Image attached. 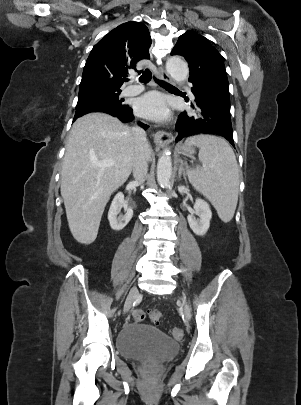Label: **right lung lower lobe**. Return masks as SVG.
I'll use <instances>...</instances> for the list:
<instances>
[{
	"instance_id": "right-lung-lower-lobe-1",
	"label": "right lung lower lobe",
	"mask_w": 301,
	"mask_h": 405,
	"mask_svg": "<svg viewBox=\"0 0 301 405\" xmlns=\"http://www.w3.org/2000/svg\"><path fill=\"white\" fill-rule=\"evenodd\" d=\"M98 112L107 113V114H109V115H111V116L117 117V118H119L122 122H130V121H132L133 118H134L132 109L129 108V107L126 108V109H108V108H107V109L99 110ZM78 117H80V116H75V117H74V120H75L76 118H78ZM139 125H140L141 127H143L144 129H147V128H148V125H145V124H143V123H140V122H139Z\"/></svg>"
}]
</instances>
